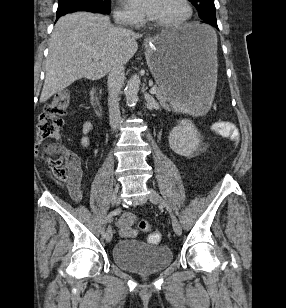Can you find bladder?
Listing matches in <instances>:
<instances>
[{"mask_svg": "<svg viewBox=\"0 0 286 308\" xmlns=\"http://www.w3.org/2000/svg\"><path fill=\"white\" fill-rule=\"evenodd\" d=\"M114 263L121 268L144 274L165 269L173 259L167 246L147 245L136 239L117 241L111 249Z\"/></svg>", "mask_w": 286, "mask_h": 308, "instance_id": "31cf9c89", "label": "bladder"}]
</instances>
